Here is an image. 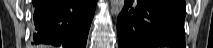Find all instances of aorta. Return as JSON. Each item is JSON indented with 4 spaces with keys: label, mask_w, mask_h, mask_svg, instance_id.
<instances>
[{
    "label": "aorta",
    "mask_w": 213,
    "mask_h": 48,
    "mask_svg": "<svg viewBox=\"0 0 213 48\" xmlns=\"http://www.w3.org/2000/svg\"><path fill=\"white\" fill-rule=\"evenodd\" d=\"M110 2L111 14L115 16L119 15L124 7L125 0H111Z\"/></svg>",
    "instance_id": "762f6f07"
}]
</instances>
